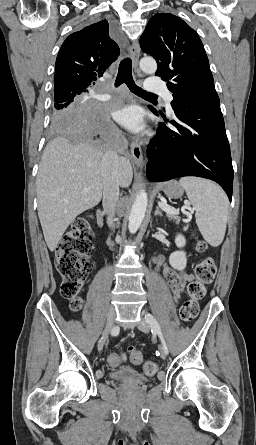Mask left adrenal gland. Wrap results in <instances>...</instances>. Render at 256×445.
<instances>
[{
    "label": "left adrenal gland",
    "mask_w": 256,
    "mask_h": 445,
    "mask_svg": "<svg viewBox=\"0 0 256 445\" xmlns=\"http://www.w3.org/2000/svg\"><path fill=\"white\" fill-rule=\"evenodd\" d=\"M157 215L163 216L162 212L160 211V208L158 206L156 207V211L154 213V216H157Z\"/></svg>",
    "instance_id": "a2214340"
}]
</instances>
